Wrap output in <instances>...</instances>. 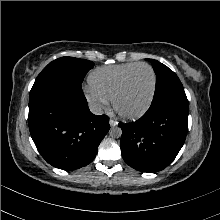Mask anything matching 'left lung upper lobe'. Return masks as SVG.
Returning a JSON list of instances; mask_svg holds the SVG:
<instances>
[{"mask_svg": "<svg viewBox=\"0 0 220 220\" xmlns=\"http://www.w3.org/2000/svg\"><path fill=\"white\" fill-rule=\"evenodd\" d=\"M147 60L152 63L156 74V89L150 108L172 105L188 111V100L178 76L159 61Z\"/></svg>", "mask_w": 220, "mask_h": 220, "instance_id": "1", "label": "left lung upper lobe"}]
</instances>
